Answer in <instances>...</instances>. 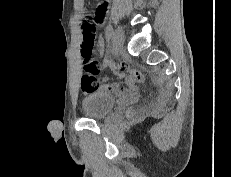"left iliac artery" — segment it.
Returning a JSON list of instances; mask_svg holds the SVG:
<instances>
[{
    "label": "left iliac artery",
    "instance_id": "obj_1",
    "mask_svg": "<svg viewBox=\"0 0 231 177\" xmlns=\"http://www.w3.org/2000/svg\"><path fill=\"white\" fill-rule=\"evenodd\" d=\"M113 34V27L112 25L109 23L106 27V38L109 40L111 38Z\"/></svg>",
    "mask_w": 231,
    "mask_h": 177
}]
</instances>
